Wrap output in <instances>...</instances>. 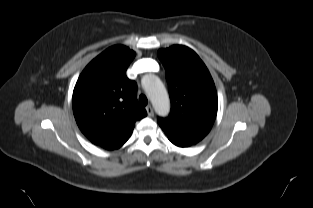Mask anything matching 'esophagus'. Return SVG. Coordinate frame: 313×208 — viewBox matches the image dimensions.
I'll return each instance as SVG.
<instances>
[{"instance_id":"1","label":"esophagus","mask_w":313,"mask_h":208,"mask_svg":"<svg viewBox=\"0 0 313 208\" xmlns=\"http://www.w3.org/2000/svg\"><path fill=\"white\" fill-rule=\"evenodd\" d=\"M146 111L148 116L152 117L154 115L153 108L150 105L146 107Z\"/></svg>"}]
</instances>
